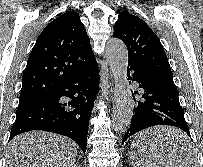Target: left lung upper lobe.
I'll use <instances>...</instances> for the list:
<instances>
[{"label":"left lung upper lobe","instance_id":"left-lung-upper-lobe-1","mask_svg":"<svg viewBox=\"0 0 203 167\" xmlns=\"http://www.w3.org/2000/svg\"><path fill=\"white\" fill-rule=\"evenodd\" d=\"M113 36L126 44L129 66L142 68L162 81L174 83L163 46L142 19L128 11L120 12Z\"/></svg>","mask_w":203,"mask_h":167}]
</instances>
